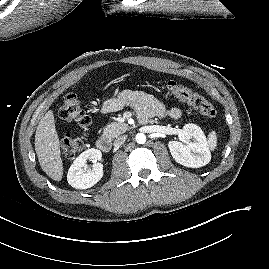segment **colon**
I'll return each mask as SVG.
<instances>
[{
  "label": "colon",
  "mask_w": 269,
  "mask_h": 269,
  "mask_svg": "<svg viewBox=\"0 0 269 269\" xmlns=\"http://www.w3.org/2000/svg\"><path fill=\"white\" fill-rule=\"evenodd\" d=\"M166 90L176 98L186 102L188 105L198 110L205 117H214L216 109L211 102L204 96L193 91L190 88L182 86L175 81H167L165 83ZM59 116L61 119L74 122L84 131L91 124V118L83 109L78 97L75 94H67L59 107ZM85 137L65 136L61 140L62 154L65 159L71 160L75 158L84 148Z\"/></svg>",
  "instance_id": "5ec220e1"
}]
</instances>
